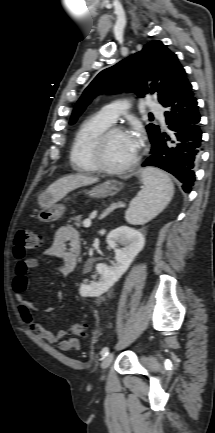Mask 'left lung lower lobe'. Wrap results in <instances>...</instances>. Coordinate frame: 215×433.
I'll list each match as a JSON object with an SVG mask.
<instances>
[{
	"instance_id": "obj_1",
	"label": "left lung lower lobe",
	"mask_w": 215,
	"mask_h": 433,
	"mask_svg": "<svg viewBox=\"0 0 215 433\" xmlns=\"http://www.w3.org/2000/svg\"><path fill=\"white\" fill-rule=\"evenodd\" d=\"M162 105L171 135L160 130L151 140V156L142 166L159 167L183 183L186 193L191 191L201 151L202 131L200 114L192 86L185 77L169 94Z\"/></svg>"
}]
</instances>
